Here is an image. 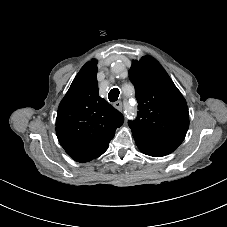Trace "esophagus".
<instances>
[{"label": "esophagus", "mask_w": 227, "mask_h": 227, "mask_svg": "<svg viewBox=\"0 0 227 227\" xmlns=\"http://www.w3.org/2000/svg\"><path fill=\"white\" fill-rule=\"evenodd\" d=\"M114 107L119 110V111H122V102L121 101H117L115 104H114Z\"/></svg>", "instance_id": "obj_1"}]
</instances>
